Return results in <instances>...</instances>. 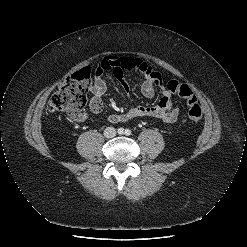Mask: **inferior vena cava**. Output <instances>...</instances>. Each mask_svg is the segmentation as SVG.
Here are the masks:
<instances>
[{
    "mask_svg": "<svg viewBox=\"0 0 247 247\" xmlns=\"http://www.w3.org/2000/svg\"><path fill=\"white\" fill-rule=\"evenodd\" d=\"M104 136L106 138H113L116 136V129L114 127H107L104 130Z\"/></svg>",
    "mask_w": 247,
    "mask_h": 247,
    "instance_id": "obj_1",
    "label": "inferior vena cava"
}]
</instances>
